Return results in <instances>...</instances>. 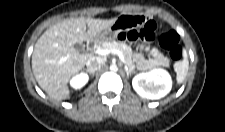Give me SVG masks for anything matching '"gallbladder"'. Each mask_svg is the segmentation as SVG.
Segmentation results:
<instances>
[{"label": "gallbladder", "mask_w": 225, "mask_h": 132, "mask_svg": "<svg viewBox=\"0 0 225 132\" xmlns=\"http://www.w3.org/2000/svg\"><path fill=\"white\" fill-rule=\"evenodd\" d=\"M75 48H76L77 50H79V51H83V49H84L83 44H81V43H77V44L75 45Z\"/></svg>", "instance_id": "1"}]
</instances>
